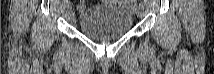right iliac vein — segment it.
I'll return each instance as SVG.
<instances>
[{
    "mask_svg": "<svg viewBox=\"0 0 214 74\" xmlns=\"http://www.w3.org/2000/svg\"><path fill=\"white\" fill-rule=\"evenodd\" d=\"M68 16H69V19L74 18V11L71 8L68 10Z\"/></svg>",
    "mask_w": 214,
    "mask_h": 74,
    "instance_id": "right-iliac-vein-1",
    "label": "right iliac vein"
}]
</instances>
